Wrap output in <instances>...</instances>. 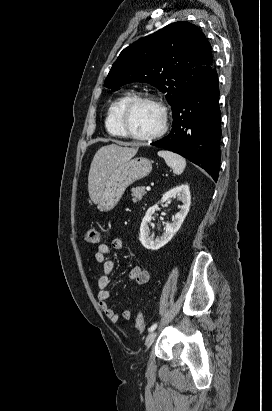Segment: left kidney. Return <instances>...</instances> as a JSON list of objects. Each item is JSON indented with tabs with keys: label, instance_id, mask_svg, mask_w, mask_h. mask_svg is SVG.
Wrapping results in <instances>:
<instances>
[{
	"label": "left kidney",
	"instance_id": "obj_1",
	"mask_svg": "<svg viewBox=\"0 0 272 411\" xmlns=\"http://www.w3.org/2000/svg\"><path fill=\"white\" fill-rule=\"evenodd\" d=\"M175 197H177L178 200L182 201L183 205L181 206L179 212H177V214L175 215V219L173 220V222L166 224L164 233L155 239H153V237L151 236L149 223L152 219L154 212L157 209V205H154L147 210L140 226L139 235V240L145 248L151 250H158L159 248L167 244L173 238L176 232L180 229L190 208L191 195L189 186L187 184H182L169 190L162 196L161 202H166L169 199Z\"/></svg>",
	"mask_w": 272,
	"mask_h": 411
}]
</instances>
